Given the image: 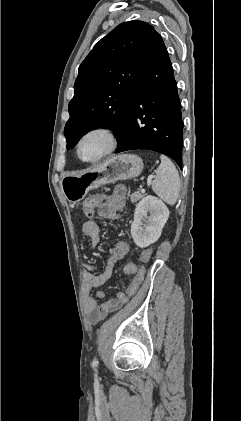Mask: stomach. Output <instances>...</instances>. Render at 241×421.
Wrapping results in <instances>:
<instances>
[{"label": "stomach", "instance_id": "0dacf381", "mask_svg": "<svg viewBox=\"0 0 241 421\" xmlns=\"http://www.w3.org/2000/svg\"><path fill=\"white\" fill-rule=\"evenodd\" d=\"M142 159L133 154L113 156L81 174H66L60 186L69 203L80 202L89 190L100 185L139 176L143 170Z\"/></svg>", "mask_w": 241, "mask_h": 421}]
</instances>
